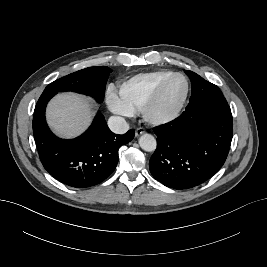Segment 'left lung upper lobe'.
Listing matches in <instances>:
<instances>
[{
    "label": "left lung upper lobe",
    "instance_id": "obj_1",
    "mask_svg": "<svg viewBox=\"0 0 267 267\" xmlns=\"http://www.w3.org/2000/svg\"><path fill=\"white\" fill-rule=\"evenodd\" d=\"M185 73L190 77L192 82L191 97L205 95L207 92H210L209 89H213V92L210 93L214 94L213 97L215 98L216 103H222L223 101H226L222 92L216 85L204 80L202 77L192 71L185 70Z\"/></svg>",
    "mask_w": 267,
    "mask_h": 267
}]
</instances>
